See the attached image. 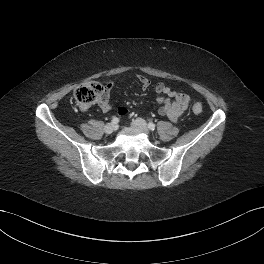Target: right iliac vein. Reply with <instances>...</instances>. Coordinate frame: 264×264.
<instances>
[{"label": "right iliac vein", "mask_w": 264, "mask_h": 264, "mask_svg": "<svg viewBox=\"0 0 264 264\" xmlns=\"http://www.w3.org/2000/svg\"><path fill=\"white\" fill-rule=\"evenodd\" d=\"M104 130H105V133H107V134H112V133L114 132V130H115V125L112 124V123H108V124L105 126Z\"/></svg>", "instance_id": "1"}]
</instances>
